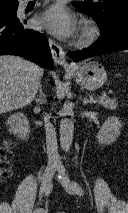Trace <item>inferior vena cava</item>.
Here are the masks:
<instances>
[{
    "mask_svg": "<svg viewBox=\"0 0 128 213\" xmlns=\"http://www.w3.org/2000/svg\"><path fill=\"white\" fill-rule=\"evenodd\" d=\"M44 122H45V131H46L48 163H49V166L59 167L61 166V162H60V158L58 154L56 132L52 123L49 120V117H45Z\"/></svg>",
    "mask_w": 128,
    "mask_h": 213,
    "instance_id": "obj_1",
    "label": "inferior vena cava"
}]
</instances>
